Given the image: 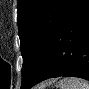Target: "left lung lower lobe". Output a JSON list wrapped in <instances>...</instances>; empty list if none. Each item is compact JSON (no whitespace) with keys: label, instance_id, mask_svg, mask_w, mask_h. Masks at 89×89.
I'll list each match as a JSON object with an SVG mask.
<instances>
[{"label":"left lung lower lobe","instance_id":"left-lung-lower-lobe-1","mask_svg":"<svg viewBox=\"0 0 89 89\" xmlns=\"http://www.w3.org/2000/svg\"><path fill=\"white\" fill-rule=\"evenodd\" d=\"M60 76L89 80V0H72L54 32L47 54L25 89Z\"/></svg>","mask_w":89,"mask_h":89}]
</instances>
